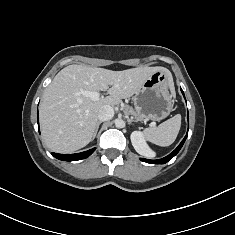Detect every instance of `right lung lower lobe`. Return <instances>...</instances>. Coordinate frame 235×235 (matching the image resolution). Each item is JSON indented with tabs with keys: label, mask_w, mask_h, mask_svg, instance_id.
<instances>
[{
	"label": "right lung lower lobe",
	"mask_w": 235,
	"mask_h": 235,
	"mask_svg": "<svg viewBox=\"0 0 235 235\" xmlns=\"http://www.w3.org/2000/svg\"><path fill=\"white\" fill-rule=\"evenodd\" d=\"M39 124V122H38ZM96 148L90 149L88 151L85 152H81V153H76V154H57V153H52V155L59 159V160H63V161H76V160H81V159H85L88 156H90Z\"/></svg>",
	"instance_id": "1"
}]
</instances>
